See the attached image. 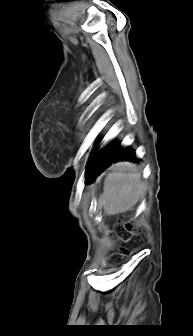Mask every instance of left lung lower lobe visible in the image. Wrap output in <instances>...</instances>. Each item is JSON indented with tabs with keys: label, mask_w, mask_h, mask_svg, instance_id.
Returning <instances> with one entry per match:
<instances>
[{
	"label": "left lung lower lobe",
	"mask_w": 193,
	"mask_h": 336,
	"mask_svg": "<svg viewBox=\"0 0 193 336\" xmlns=\"http://www.w3.org/2000/svg\"><path fill=\"white\" fill-rule=\"evenodd\" d=\"M122 160L135 162L138 158H136L135 153L128 148H121L115 143H109L91 160L86 172V183L89 184L93 182V180L111 163Z\"/></svg>",
	"instance_id": "1"
}]
</instances>
